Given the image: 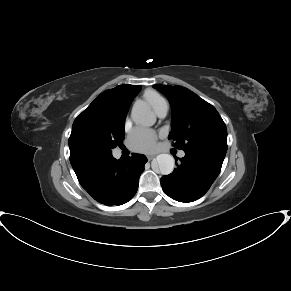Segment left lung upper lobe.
Wrapping results in <instances>:
<instances>
[{"instance_id": "1", "label": "left lung upper lobe", "mask_w": 291, "mask_h": 291, "mask_svg": "<svg viewBox=\"0 0 291 291\" xmlns=\"http://www.w3.org/2000/svg\"><path fill=\"white\" fill-rule=\"evenodd\" d=\"M153 87L170 102L172 131L169 138L175 139V148L226 154V125L211 104L182 86L155 84Z\"/></svg>"}]
</instances>
